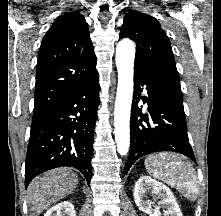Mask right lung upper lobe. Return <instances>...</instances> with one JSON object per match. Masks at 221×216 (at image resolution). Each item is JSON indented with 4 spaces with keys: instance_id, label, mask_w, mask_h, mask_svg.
<instances>
[{
    "instance_id": "cb5924a9",
    "label": "right lung upper lobe",
    "mask_w": 221,
    "mask_h": 216,
    "mask_svg": "<svg viewBox=\"0 0 221 216\" xmlns=\"http://www.w3.org/2000/svg\"><path fill=\"white\" fill-rule=\"evenodd\" d=\"M98 76L88 24L77 12L58 17L40 46L34 114Z\"/></svg>"
}]
</instances>
